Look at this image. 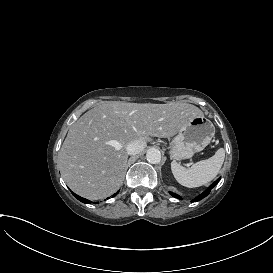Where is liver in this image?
Masks as SVG:
<instances>
[{
  "label": "liver",
  "instance_id": "6515ba94",
  "mask_svg": "<svg viewBox=\"0 0 273 273\" xmlns=\"http://www.w3.org/2000/svg\"><path fill=\"white\" fill-rule=\"evenodd\" d=\"M203 111L189 103L108 102L95 106L69 129L60 157L62 176L76 194L89 200L116 193L132 140L171 137Z\"/></svg>",
  "mask_w": 273,
  "mask_h": 273
}]
</instances>
